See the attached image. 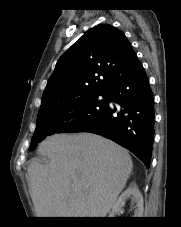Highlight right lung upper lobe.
Wrapping results in <instances>:
<instances>
[{
    "instance_id": "obj_1",
    "label": "right lung upper lobe",
    "mask_w": 181,
    "mask_h": 227,
    "mask_svg": "<svg viewBox=\"0 0 181 227\" xmlns=\"http://www.w3.org/2000/svg\"><path fill=\"white\" fill-rule=\"evenodd\" d=\"M135 56L122 31L108 24L93 27L58 60L43 92L40 110L108 91Z\"/></svg>"
}]
</instances>
